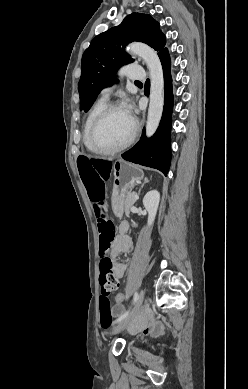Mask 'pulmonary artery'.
Returning <instances> with one entry per match:
<instances>
[{
	"label": "pulmonary artery",
	"instance_id": "pulmonary-artery-1",
	"mask_svg": "<svg viewBox=\"0 0 248 389\" xmlns=\"http://www.w3.org/2000/svg\"><path fill=\"white\" fill-rule=\"evenodd\" d=\"M119 75L125 76L131 80L140 81L143 78L142 68L137 65L127 64L123 69L119 71ZM112 93L111 87H106L102 90V97L107 99Z\"/></svg>",
	"mask_w": 248,
	"mask_h": 389
}]
</instances>
